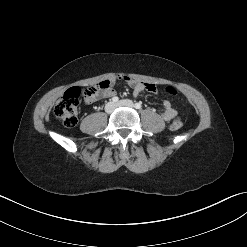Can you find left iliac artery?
<instances>
[{
  "mask_svg": "<svg viewBox=\"0 0 247 247\" xmlns=\"http://www.w3.org/2000/svg\"><path fill=\"white\" fill-rule=\"evenodd\" d=\"M134 107H135L136 109H140L142 106H141L140 103H136V104L134 105Z\"/></svg>",
  "mask_w": 247,
  "mask_h": 247,
  "instance_id": "1",
  "label": "left iliac artery"
}]
</instances>
